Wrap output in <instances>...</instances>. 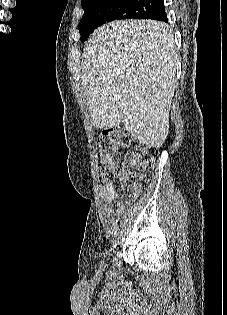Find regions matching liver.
I'll return each mask as SVG.
<instances>
[{"label":"liver","mask_w":227,"mask_h":315,"mask_svg":"<svg viewBox=\"0 0 227 315\" xmlns=\"http://www.w3.org/2000/svg\"><path fill=\"white\" fill-rule=\"evenodd\" d=\"M81 85L91 123L113 128L121 121L139 142L159 148L169 133L177 53L168 24L114 21L86 43Z\"/></svg>","instance_id":"obj_1"}]
</instances>
